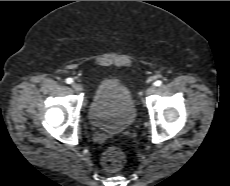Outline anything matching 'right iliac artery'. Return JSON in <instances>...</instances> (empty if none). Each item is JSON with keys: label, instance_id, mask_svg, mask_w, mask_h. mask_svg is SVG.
Masks as SVG:
<instances>
[{"label": "right iliac artery", "instance_id": "1", "mask_svg": "<svg viewBox=\"0 0 230 186\" xmlns=\"http://www.w3.org/2000/svg\"><path fill=\"white\" fill-rule=\"evenodd\" d=\"M74 81H73V79L72 78H67L66 79V83L67 84H72Z\"/></svg>", "mask_w": 230, "mask_h": 186}]
</instances>
